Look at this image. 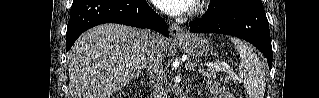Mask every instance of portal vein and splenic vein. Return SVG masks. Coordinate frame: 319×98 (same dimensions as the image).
Instances as JSON below:
<instances>
[{
    "label": "portal vein and splenic vein",
    "mask_w": 319,
    "mask_h": 98,
    "mask_svg": "<svg viewBox=\"0 0 319 98\" xmlns=\"http://www.w3.org/2000/svg\"><path fill=\"white\" fill-rule=\"evenodd\" d=\"M196 67H197V65L195 64V63H187L186 65H185V68H186V70H195L196 69ZM212 67H215L217 70H226L227 68L226 67H224V66H221V65H218V64H216V65H212ZM227 72H229V74L231 75V76H235V73L232 71V70H227ZM236 77V76H235Z\"/></svg>",
    "instance_id": "1"
}]
</instances>
